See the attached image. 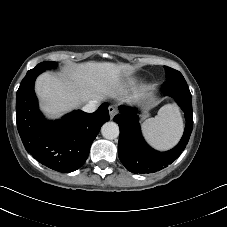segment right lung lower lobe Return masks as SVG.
I'll list each match as a JSON object with an SVG mask.
<instances>
[{
    "label": "right lung lower lobe",
    "instance_id": "98d812e1",
    "mask_svg": "<svg viewBox=\"0 0 227 227\" xmlns=\"http://www.w3.org/2000/svg\"><path fill=\"white\" fill-rule=\"evenodd\" d=\"M41 71L27 72L16 94V120L23 145L41 164L69 173L86 161L101 126L109 121L108 103L94 113L81 110L61 120H46L38 108L34 81Z\"/></svg>",
    "mask_w": 227,
    "mask_h": 227
}]
</instances>
